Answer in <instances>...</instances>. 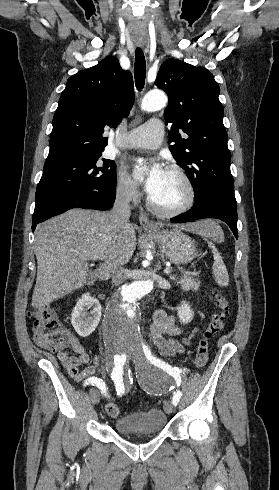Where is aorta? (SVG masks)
Masks as SVG:
<instances>
[{
    "mask_svg": "<svg viewBox=\"0 0 279 490\" xmlns=\"http://www.w3.org/2000/svg\"><path fill=\"white\" fill-rule=\"evenodd\" d=\"M167 101L164 92L151 91L143 98L141 108L153 112L165 107ZM152 289L151 280L134 281L110 299L104 316V337L108 345L114 347L141 344L137 301Z\"/></svg>",
    "mask_w": 279,
    "mask_h": 490,
    "instance_id": "aorta-1",
    "label": "aorta"
}]
</instances>
